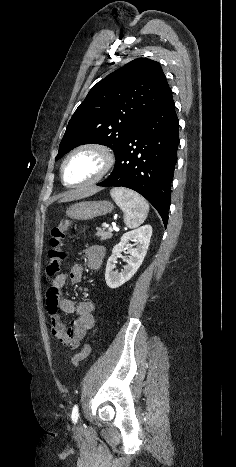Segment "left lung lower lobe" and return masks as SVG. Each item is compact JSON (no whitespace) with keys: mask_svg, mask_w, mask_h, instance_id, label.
<instances>
[{"mask_svg":"<svg viewBox=\"0 0 236 467\" xmlns=\"http://www.w3.org/2000/svg\"><path fill=\"white\" fill-rule=\"evenodd\" d=\"M178 126L170 89L130 131L116 156L112 174L97 184L127 187L140 193L157 209L165 227L177 161Z\"/></svg>","mask_w":236,"mask_h":467,"instance_id":"obj_1","label":"left lung lower lobe"}]
</instances>
